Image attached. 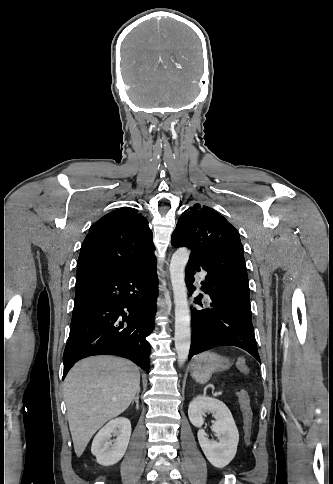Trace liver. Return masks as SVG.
Wrapping results in <instances>:
<instances>
[{
  "mask_svg": "<svg viewBox=\"0 0 333 484\" xmlns=\"http://www.w3.org/2000/svg\"><path fill=\"white\" fill-rule=\"evenodd\" d=\"M139 390L138 368L123 358L90 357L72 367L64 380V398L77 457L99 428L129 407Z\"/></svg>",
  "mask_w": 333,
  "mask_h": 484,
  "instance_id": "liver-1",
  "label": "liver"
}]
</instances>
